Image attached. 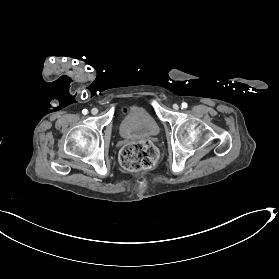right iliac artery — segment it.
<instances>
[{
	"label": "right iliac artery",
	"instance_id": "obj_1",
	"mask_svg": "<svg viewBox=\"0 0 279 279\" xmlns=\"http://www.w3.org/2000/svg\"><path fill=\"white\" fill-rule=\"evenodd\" d=\"M82 113H83V114H87V113H88V110H87V109H83V110H82Z\"/></svg>",
	"mask_w": 279,
	"mask_h": 279
}]
</instances>
